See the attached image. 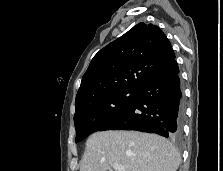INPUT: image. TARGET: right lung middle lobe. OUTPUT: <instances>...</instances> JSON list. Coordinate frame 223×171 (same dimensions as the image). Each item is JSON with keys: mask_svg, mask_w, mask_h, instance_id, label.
Here are the masks:
<instances>
[{"mask_svg": "<svg viewBox=\"0 0 223 171\" xmlns=\"http://www.w3.org/2000/svg\"><path fill=\"white\" fill-rule=\"evenodd\" d=\"M136 91H119L102 96L76 109L74 124L78 143L118 117L135 99Z\"/></svg>", "mask_w": 223, "mask_h": 171, "instance_id": "obj_1", "label": "right lung middle lobe"}]
</instances>
